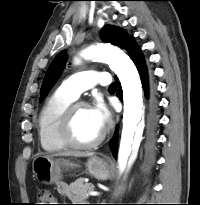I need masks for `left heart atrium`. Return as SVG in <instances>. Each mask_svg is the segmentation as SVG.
<instances>
[{"instance_id": "1", "label": "left heart atrium", "mask_w": 200, "mask_h": 205, "mask_svg": "<svg viewBox=\"0 0 200 205\" xmlns=\"http://www.w3.org/2000/svg\"><path fill=\"white\" fill-rule=\"evenodd\" d=\"M90 112L97 125L102 130H104V128L110 123L111 114L103 102L98 101L92 108H90Z\"/></svg>"}]
</instances>
